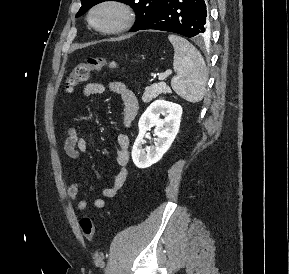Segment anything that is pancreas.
Wrapping results in <instances>:
<instances>
[{
  "mask_svg": "<svg viewBox=\"0 0 289 274\" xmlns=\"http://www.w3.org/2000/svg\"><path fill=\"white\" fill-rule=\"evenodd\" d=\"M162 93H171V89L166 83L161 82L152 84L151 86L146 87L145 92L142 96V100L144 103H148Z\"/></svg>",
  "mask_w": 289,
  "mask_h": 274,
  "instance_id": "pancreas-1",
  "label": "pancreas"
}]
</instances>
